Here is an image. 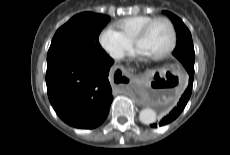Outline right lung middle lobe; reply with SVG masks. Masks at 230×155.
Here are the masks:
<instances>
[{
  "instance_id": "right-lung-middle-lobe-1",
  "label": "right lung middle lobe",
  "mask_w": 230,
  "mask_h": 155,
  "mask_svg": "<svg viewBox=\"0 0 230 155\" xmlns=\"http://www.w3.org/2000/svg\"><path fill=\"white\" fill-rule=\"evenodd\" d=\"M110 18L84 12L75 15L60 27L51 42L47 64L64 60H96L107 53L99 44L98 36Z\"/></svg>"
}]
</instances>
